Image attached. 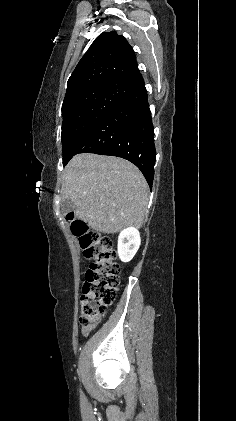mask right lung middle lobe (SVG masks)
<instances>
[{"label": "right lung middle lobe", "instance_id": "1", "mask_svg": "<svg viewBox=\"0 0 236 421\" xmlns=\"http://www.w3.org/2000/svg\"><path fill=\"white\" fill-rule=\"evenodd\" d=\"M128 93L119 85L83 91L62 105L63 165L73 157L80 139Z\"/></svg>", "mask_w": 236, "mask_h": 421}]
</instances>
